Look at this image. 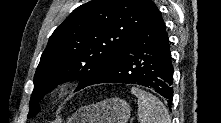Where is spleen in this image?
<instances>
[{
    "label": "spleen",
    "mask_w": 221,
    "mask_h": 123,
    "mask_svg": "<svg viewBox=\"0 0 221 123\" xmlns=\"http://www.w3.org/2000/svg\"><path fill=\"white\" fill-rule=\"evenodd\" d=\"M131 93L138 98L140 123H170L167 108L156 96L137 87H132Z\"/></svg>",
    "instance_id": "3e777b00"
}]
</instances>
